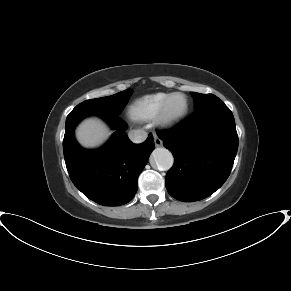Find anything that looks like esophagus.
<instances>
[{"mask_svg":"<svg viewBox=\"0 0 291 291\" xmlns=\"http://www.w3.org/2000/svg\"><path fill=\"white\" fill-rule=\"evenodd\" d=\"M155 146L159 147L162 145V141L158 138L156 134L153 135Z\"/></svg>","mask_w":291,"mask_h":291,"instance_id":"esophagus-1","label":"esophagus"}]
</instances>
